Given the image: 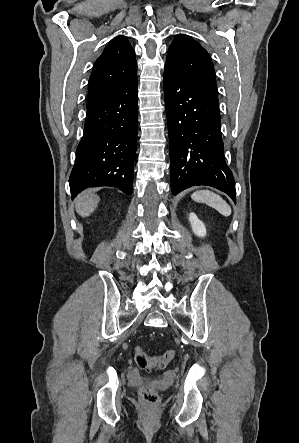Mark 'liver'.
Listing matches in <instances>:
<instances>
[{
  "mask_svg": "<svg viewBox=\"0 0 299 443\" xmlns=\"http://www.w3.org/2000/svg\"><path fill=\"white\" fill-rule=\"evenodd\" d=\"M100 199L92 190H85L75 200L76 212L82 216H90L98 206Z\"/></svg>",
  "mask_w": 299,
  "mask_h": 443,
  "instance_id": "1",
  "label": "liver"
}]
</instances>
